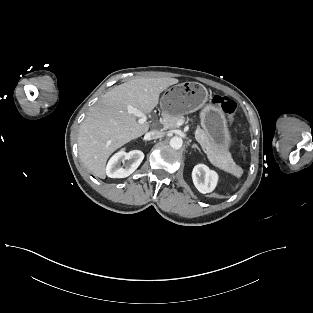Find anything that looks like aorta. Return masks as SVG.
<instances>
[{"label":"aorta","instance_id":"obj_1","mask_svg":"<svg viewBox=\"0 0 313 313\" xmlns=\"http://www.w3.org/2000/svg\"><path fill=\"white\" fill-rule=\"evenodd\" d=\"M182 144H183V140L181 137L175 136L171 138L170 140V146L173 149H176V150L180 149L182 147Z\"/></svg>","mask_w":313,"mask_h":313}]
</instances>
